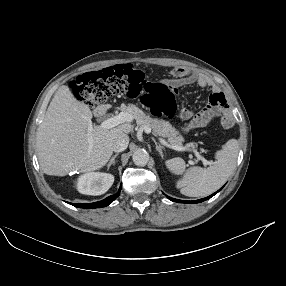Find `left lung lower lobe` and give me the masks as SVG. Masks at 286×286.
Masks as SVG:
<instances>
[{
	"instance_id": "1",
	"label": "left lung lower lobe",
	"mask_w": 286,
	"mask_h": 286,
	"mask_svg": "<svg viewBox=\"0 0 286 286\" xmlns=\"http://www.w3.org/2000/svg\"><path fill=\"white\" fill-rule=\"evenodd\" d=\"M222 189V188H221ZM221 189H219L217 192H219ZM217 192H215L214 194L206 197V198H203V199H199V200H195V201H183V200H178V199H174V198H171V197H168L171 201H174V202H179V203H199V202H202V201H205L209 198H211L212 196H214Z\"/></svg>"
}]
</instances>
